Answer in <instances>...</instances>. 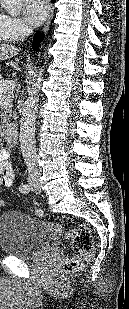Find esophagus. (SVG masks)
Returning <instances> with one entry per match:
<instances>
[{
    "instance_id": "1",
    "label": "esophagus",
    "mask_w": 129,
    "mask_h": 309,
    "mask_svg": "<svg viewBox=\"0 0 129 309\" xmlns=\"http://www.w3.org/2000/svg\"><path fill=\"white\" fill-rule=\"evenodd\" d=\"M52 18H53V10L51 11L49 19H48V21L46 22V24L44 25V27L42 29L44 32H46L48 30Z\"/></svg>"
}]
</instances>
